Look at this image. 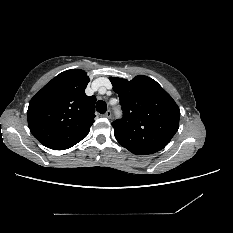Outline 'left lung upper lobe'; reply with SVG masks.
<instances>
[{"instance_id": "left-lung-upper-lobe-1", "label": "left lung upper lobe", "mask_w": 233, "mask_h": 233, "mask_svg": "<svg viewBox=\"0 0 233 233\" xmlns=\"http://www.w3.org/2000/svg\"><path fill=\"white\" fill-rule=\"evenodd\" d=\"M110 81L123 110V118L112 123L117 141L138 155L163 149L179 128L180 109L172 97L144 75Z\"/></svg>"}]
</instances>
